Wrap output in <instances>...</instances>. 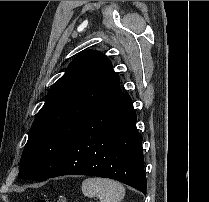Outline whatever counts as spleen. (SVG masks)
Listing matches in <instances>:
<instances>
[{
  "instance_id": "obj_1",
  "label": "spleen",
  "mask_w": 209,
  "mask_h": 202,
  "mask_svg": "<svg viewBox=\"0 0 209 202\" xmlns=\"http://www.w3.org/2000/svg\"><path fill=\"white\" fill-rule=\"evenodd\" d=\"M81 189L86 197H98L100 202H120L125 196L124 186L110 179L87 178Z\"/></svg>"
}]
</instances>
